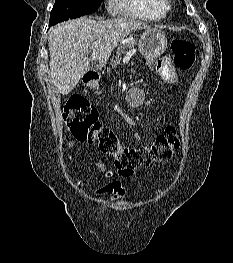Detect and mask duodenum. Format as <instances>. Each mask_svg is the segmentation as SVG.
I'll list each match as a JSON object with an SVG mask.
<instances>
[{"mask_svg": "<svg viewBox=\"0 0 233 263\" xmlns=\"http://www.w3.org/2000/svg\"><path fill=\"white\" fill-rule=\"evenodd\" d=\"M99 75L96 71L89 70L85 72L83 79L86 83H94L98 80Z\"/></svg>", "mask_w": 233, "mask_h": 263, "instance_id": "1", "label": "duodenum"}]
</instances>
